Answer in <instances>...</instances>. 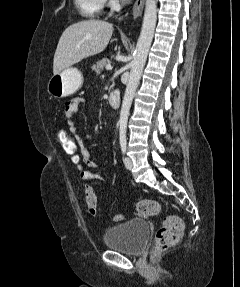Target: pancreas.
<instances>
[{
	"mask_svg": "<svg viewBox=\"0 0 240 287\" xmlns=\"http://www.w3.org/2000/svg\"><path fill=\"white\" fill-rule=\"evenodd\" d=\"M108 64H110V60L108 58H103L92 66V71H95L96 74H99Z\"/></svg>",
	"mask_w": 240,
	"mask_h": 287,
	"instance_id": "obj_1",
	"label": "pancreas"
}]
</instances>
